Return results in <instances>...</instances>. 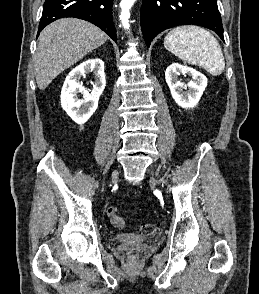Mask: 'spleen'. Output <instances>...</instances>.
<instances>
[{"label": "spleen", "mask_w": 259, "mask_h": 294, "mask_svg": "<svg viewBox=\"0 0 259 294\" xmlns=\"http://www.w3.org/2000/svg\"><path fill=\"white\" fill-rule=\"evenodd\" d=\"M164 47L184 62L203 67L214 76L224 71L221 47L205 29L197 26L176 27L166 35Z\"/></svg>", "instance_id": "obj_1"}]
</instances>
